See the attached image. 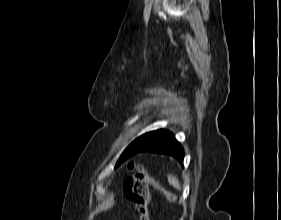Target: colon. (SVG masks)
<instances>
[{"label": "colon", "mask_w": 281, "mask_h": 220, "mask_svg": "<svg viewBox=\"0 0 281 220\" xmlns=\"http://www.w3.org/2000/svg\"><path fill=\"white\" fill-rule=\"evenodd\" d=\"M129 170L133 172V175L125 180L123 190L126 198L134 203L135 209L139 213V220H149V187L151 185L169 201L175 200V195L154 180L141 165L130 164Z\"/></svg>", "instance_id": "5ec220e1"}]
</instances>
